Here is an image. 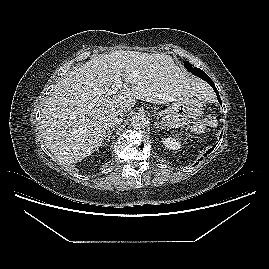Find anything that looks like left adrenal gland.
<instances>
[{"label": "left adrenal gland", "mask_w": 269, "mask_h": 269, "mask_svg": "<svg viewBox=\"0 0 269 269\" xmlns=\"http://www.w3.org/2000/svg\"><path fill=\"white\" fill-rule=\"evenodd\" d=\"M155 128L157 129V131H160V129H163V127L159 126L158 122L154 123Z\"/></svg>", "instance_id": "left-adrenal-gland-1"}]
</instances>
